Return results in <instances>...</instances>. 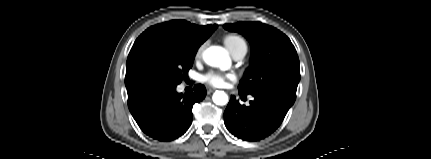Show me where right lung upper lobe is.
I'll return each mask as SVG.
<instances>
[{
  "mask_svg": "<svg viewBox=\"0 0 431 159\" xmlns=\"http://www.w3.org/2000/svg\"><path fill=\"white\" fill-rule=\"evenodd\" d=\"M216 28L217 25L197 26L185 20H172L151 26L145 30L138 39L148 36L161 37L175 41L178 44L187 47L199 48V46L209 38ZM125 85L128 95L142 87L140 84H137L130 79L127 68Z\"/></svg>",
  "mask_w": 431,
  "mask_h": 159,
  "instance_id": "1",
  "label": "right lung upper lobe"
}]
</instances>
